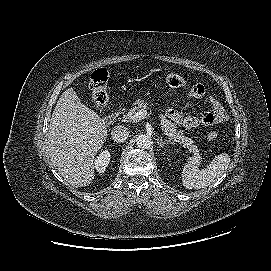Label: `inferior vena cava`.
<instances>
[{"label":"inferior vena cava","mask_w":271,"mask_h":271,"mask_svg":"<svg viewBox=\"0 0 271 271\" xmlns=\"http://www.w3.org/2000/svg\"><path fill=\"white\" fill-rule=\"evenodd\" d=\"M112 139L116 142H124L129 137V131L124 126H115L112 130Z\"/></svg>","instance_id":"602c4592"}]
</instances>
